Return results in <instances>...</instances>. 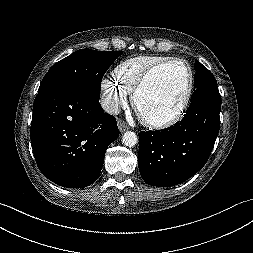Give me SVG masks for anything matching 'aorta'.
I'll return each instance as SVG.
<instances>
[{"mask_svg":"<svg viewBox=\"0 0 253 253\" xmlns=\"http://www.w3.org/2000/svg\"><path fill=\"white\" fill-rule=\"evenodd\" d=\"M122 142L127 147H133L138 142L137 135L132 131H126L122 137Z\"/></svg>","mask_w":253,"mask_h":253,"instance_id":"aorta-1","label":"aorta"}]
</instances>
